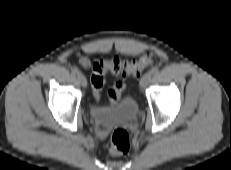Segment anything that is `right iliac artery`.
<instances>
[{
	"instance_id": "1",
	"label": "right iliac artery",
	"mask_w": 231,
	"mask_h": 170,
	"mask_svg": "<svg viewBox=\"0 0 231 170\" xmlns=\"http://www.w3.org/2000/svg\"><path fill=\"white\" fill-rule=\"evenodd\" d=\"M71 72L73 75L79 74V70L77 68H72Z\"/></svg>"
}]
</instances>
